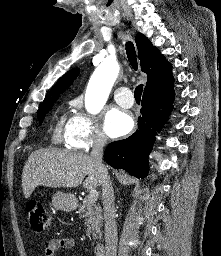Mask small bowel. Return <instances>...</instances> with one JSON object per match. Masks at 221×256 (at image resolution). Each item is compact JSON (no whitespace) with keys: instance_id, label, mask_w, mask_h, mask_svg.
<instances>
[{"instance_id":"small-bowel-1","label":"small bowel","mask_w":221,"mask_h":256,"mask_svg":"<svg viewBox=\"0 0 221 256\" xmlns=\"http://www.w3.org/2000/svg\"><path fill=\"white\" fill-rule=\"evenodd\" d=\"M75 246V240L73 238L64 237L59 239H52L44 244L42 256H55V252L58 250H71Z\"/></svg>"}]
</instances>
